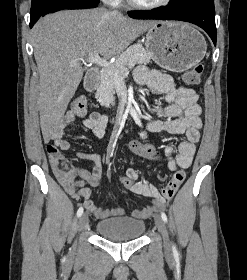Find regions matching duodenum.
Here are the masks:
<instances>
[{
	"label": "duodenum",
	"mask_w": 247,
	"mask_h": 280,
	"mask_svg": "<svg viewBox=\"0 0 247 280\" xmlns=\"http://www.w3.org/2000/svg\"><path fill=\"white\" fill-rule=\"evenodd\" d=\"M100 78V71L98 69H92L88 72L85 78V88L88 91L96 89Z\"/></svg>",
	"instance_id": "duodenum-1"
}]
</instances>
